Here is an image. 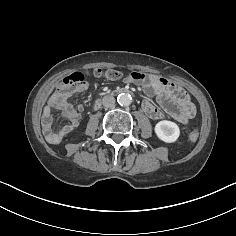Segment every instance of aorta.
<instances>
[{
  "mask_svg": "<svg viewBox=\"0 0 236 236\" xmlns=\"http://www.w3.org/2000/svg\"><path fill=\"white\" fill-rule=\"evenodd\" d=\"M117 101L121 106H129L132 103V97L128 93H121L118 95Z\"/></svg>",
  "mask_w": 236,
  "mask_h": 236,
  "instance_id": "aorta-1",
  "label": "aorta"
}]
</instances>
